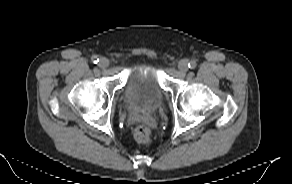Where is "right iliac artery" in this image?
I'll return each instance as SVG.
<instances>
[{"label":"right iliac artery","instance_id":"82829eb1","mask_svg":"<svg viewBox=\"0 0 292 184\" xmlns=\"http://www.w3.org/2000/svg\"><path fill=\"white\" fill-rule=\"evenodd\" d=\"M91 60L93 63H97L99 61L97 56H92Z\"/></svg>","mask_w":292,"mask_h":184}]
</instances>
